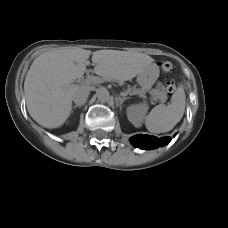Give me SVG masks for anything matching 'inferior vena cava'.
<instances>
[{
  "label": "inferior vena cava",
  "instance_id": "obj_1",
  "mask_svg": "<svg viewBox=\"0 0 228 228\" xmlns=\"http://www.w3.org/2000/svg\"><path fill=\"white\" fill-rule=\"evenodd\" d=\"M90 89L86 87H78L72 94V100L76 105H84L87 101Z\"/></svg>",
  "mask_w": 228,
  "mask_h": 228
}]
</instances>
